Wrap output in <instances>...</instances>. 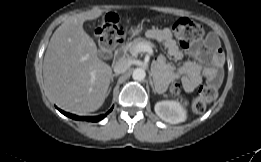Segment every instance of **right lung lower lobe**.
Wrapping results in <instances>:
<instances>
[{"label": "right lung lower lobe", "instance_id": "right-lung-lower-lobe-1", "mask_svg": "<svg viewBox=\"0 0 261 162\" xmlns=\"http://www.w3.org/2000/svg\"><path fill=\"white\" fill-rule=\"evenodd\" d=\"M113 109V107L109 110V112H111V110ZM62 114H64L65 116H68L72 119H75V120H81V121H91V122H98L100 120H102L108 113L106 114H103V115H100V116H89V117H81V116H76L74 114H70V113H67V112H64L60 109H58Z\"/></svg>", "mask_w": 261, "mask_h": 162}]
</instances>
